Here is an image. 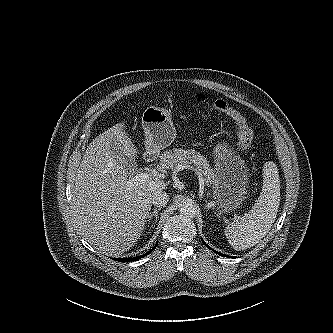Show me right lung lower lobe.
I'll list each match as a JSON object with an SVG mask.
<instances>
[{
    "label": "right lung lower lobe",
    "instance_id": "right-lung-lower-lobe-1",
    "mask_svg": "<svg viewBox=\"0 0 333 333\" xmlns=\"http://www.w3.org/2000/svg\"><path fill=\"white\" fill-rule=\"evenodd\" d=\"M156 246H157V243H156V245L150 251H148L147 253H145V254H143L141 256L133 257V258H116L114 260H117V261H120V262L136 261V260H138V259H140V258H142V257H144L146 255H148L153 249H155Z\"/></svg>",
    "mask_w": 333,
    "mask_h": 333
}]
</instances>
